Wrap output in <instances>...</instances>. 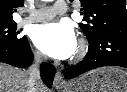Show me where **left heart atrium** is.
<instances>
[{"label": "left heart atrium", "mask_w": 127, "mask_h": 92, "mask_svg": "<svg viewBox=\"0 0 127 92\" xmlns=\"http://www.w3.org/2000/svg\"><path fill=\"white\" fill-rule=\"evenodd\" d=\"M33 40L44 54L56 59L71 57L77 47L74 29L65 22H51L38 26L34 30Z\"/></svg>", "instance_id": "obj_1"}]
</instances>
